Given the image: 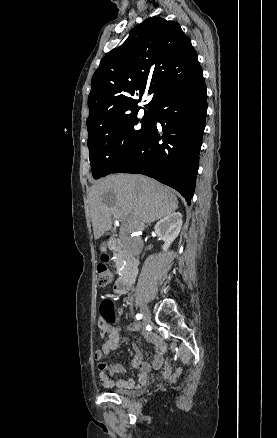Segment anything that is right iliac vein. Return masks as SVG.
<instances>
[{
  "instance_id": "63e3f726",
  "label": "right iliac vein",
  "mask_w": 277,
  "mask_h": 438,
  "mask_svg": "<svg viewBox=\"0 0 277 438\" xmlns=\"http://www.w3.org/2000/svg\"><path fill=\"white\" fill-rule=\"evenodd\" d=\"M141 313L143 316L144 325L148 324L150 322L151 315H150V311L145 305L141 307Z\"/></svg>"
}]
</instances>
